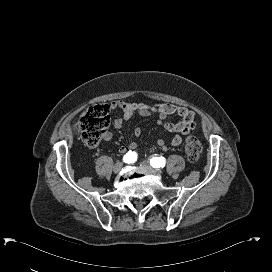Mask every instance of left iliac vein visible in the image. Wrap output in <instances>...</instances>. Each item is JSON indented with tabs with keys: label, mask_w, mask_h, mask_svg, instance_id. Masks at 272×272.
<instances>
[{
	"label": "left iliac vein",
	"mask_w": 272,
	"mask_h": 272,
	"mask_svg": "<svg viewBox=\"0 0 272 272\" xmlns=\"http://www.w3.org/2000/svg\"><path fill=\"white\" fill-rule=\"evenodd\" d=\"M140 165L144 166V167H147L148 166V163L143 161L140 163ZM156 171L160 172L161 170L160 169H156Z\"/></svg>",
	"instance_id": "obj_1"
}]
</instances>
